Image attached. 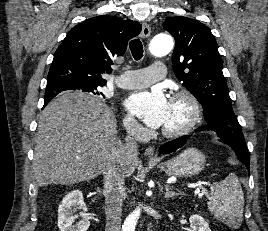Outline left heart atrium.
Wrapping results in <instances>:
<instances>
[{"mask_svg":"<svg viewBox=\"0 0 268 231\" xmlns=\"http://www.w3.org/2000/svg\"><path fill=\"white\" fill-rule=\"evenodd\" d=\"M168 106L165 94L158 87L150 91L135 92L126 100L127 110L151 128L163 125Z\"/></svg>","mask_w":268,"mask_h":231,"instance_id":"1","label":"left heart atrium"}]
</instances>
